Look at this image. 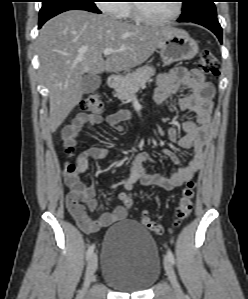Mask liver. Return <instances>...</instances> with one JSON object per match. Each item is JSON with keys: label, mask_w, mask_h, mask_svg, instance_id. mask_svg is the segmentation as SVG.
Here are the masks:
<instances>
[{"label": "liver", "mask_w": 248, "mask_h": 299, "mask_svg": "<svg viewBox=\"0 0 248 299\" xmlns=\"http://www.w3.org/2000/svg\"><path fill=\"white\" fill-rule=\"evenodd\" d=\"M173 30L127 23L114 17L70 10L47 21L37 49L40 73L49 89V125L55 132L83 96L85 73L119 72L145 62ZM107 48L123 49L103 58Z\"/></svg>", "instance_id": "liver-1"}]
</instances>
